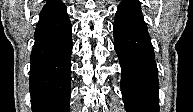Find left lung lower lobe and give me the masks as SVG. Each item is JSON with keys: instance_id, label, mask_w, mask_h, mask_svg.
I'll list each match as a JSON object with an SVG mask.
<instances>
[{"instance_id": "0a47b994", "label": "left lung lower lobe", "mask_w": 193, "mask_h": 112, "mask_svg": "<svg viewBox=\"0 0 193 112\" xmlns=\"http://www.w3.org/2000/svg\"><path fill=\"white\" fill-rule=\"evenodd\" d=\"M113 34L126 111L159 112L158 69L139 0L119 4Z\"/></svg>"}]
</instances>
